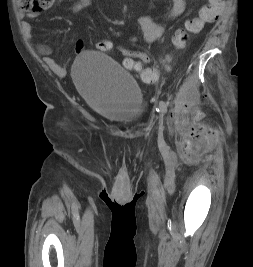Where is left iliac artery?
Returning a JSON list of instances; mask_svg holds the SVG:
<instances>
[{
  "label": "left iliac artery",
  "instance_id": "obj_1",
  "mask_svg": "<svg viewBox=\"0 0 253 267\" xmlns=\"http://www.w3.org/2000/svg\"><path fill=\"white\" fill-rule=\"evenodd\" d=\"M159 111L161 113H166L167 112V104L164 101H160V103H159Z\"/></svg>",
  "mask_w": 253,
  "mask_h": 267
}]
</instances>
